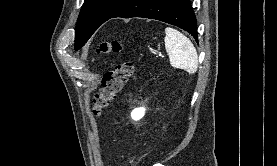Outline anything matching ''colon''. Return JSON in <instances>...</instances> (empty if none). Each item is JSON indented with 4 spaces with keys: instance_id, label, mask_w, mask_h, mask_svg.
Returning a JSON list of instances; mask_svg holds the SVG:
<instances>
[{
    "instance_id": "1",
    "label": "colon",
    "mask_w": 277,
    "mask_h": 166,
    "mask_svg": "<svg viewBox=\"0 0 277 166\" xmlns=\"http://www.w3.org/2000/svg\"><path fill=\"white\" fill-rule=\"evenodd\" d=\"M121 50L122 44L118 40H107L99 44L97 53L107 55L118 53ZM134 72L135 64L132 61H124L103 75L101 88L95 95L92 105V113L95 117L104 113L122 90L124 84L132 78Z\"/></svg>"
}]
</instances>
